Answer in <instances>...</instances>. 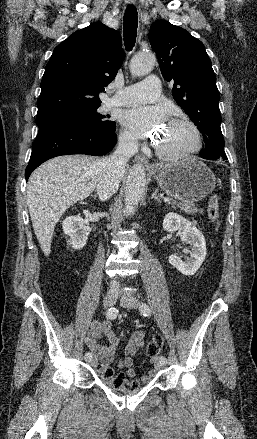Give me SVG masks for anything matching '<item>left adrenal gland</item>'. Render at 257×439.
<instances>
[{"instance_id":"a2214340","label":"left adrenal gland","mask_w":257,"mask_h":439,"mask_svg":"<svg viewBox=\"0 0 257 439\" xmlns=\"http://www.w3.org/2000/svg\"><path fill=\"white\" fill-rule=\"evenodd\" d=\"M153 198L155 200H157L158 202H161V199L158 197V188L155 189L154 193L151 195V199H153Z\"/></svg>"}]
</instances>
